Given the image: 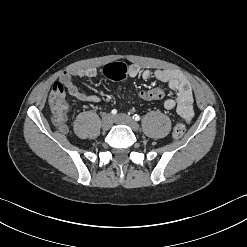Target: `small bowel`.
I'll return each instance as SVG.
<instances>
[{
	"label": "small bowel",
	"instance_id": "1",
	"mask_svg": "<svg viewBox=\"0 0 247 247\" xmlns=\"http://www.w3.org/2000/svg\"><path fill=\"white\" fill-rule=\"evenodd\" d=\"M129 76L141 78L145 81L155 78L158 81L165 82L168 86L177 92V98H167L164 101V107L168 110L176 108L177 113L186 121H190L193 116V93L190 82L184 74L176 69H159L152 71L150 69H141L137 64H131L129 67ZM98 70L95 68H76L64 72L59 83L64 90L73 98L82 102H98L100 99L95 95H86L74 84L73 78L93 79L98 76Z\"/></svg>",
	"mask_w": 247,
	"mask_h": 247
}]
</instances>
